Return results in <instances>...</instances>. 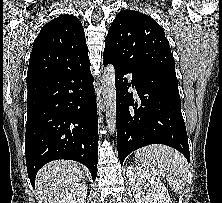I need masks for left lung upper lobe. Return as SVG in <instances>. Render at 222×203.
I'll use <instances>...</instances> for the list:
<instances>
[{"label": "left lung upper lobe", "instance_id": "1", "mask_svg": "<svg viewBox=\"0 0 222 203\" xmlns=\"http://www.w3.org/2000/svg\"><path fill=\"white\" fill-rule=\"evenodd\" d=\"M103 55L130 68L176 75L163 28L137 11L122 10L117 14L105 38Z\"/></svg>", "mask_w": 222, "mask_h": 203}]
</instances>
